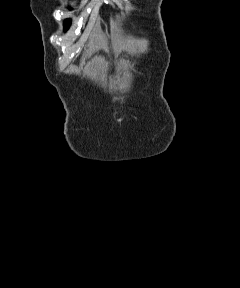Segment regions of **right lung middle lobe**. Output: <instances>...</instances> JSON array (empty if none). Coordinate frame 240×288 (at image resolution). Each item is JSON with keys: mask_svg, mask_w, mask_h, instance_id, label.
Here are the masks:
<instances>
[{"mask_svg": "<svg viewBox=\"0 0 240 288\" xmlns=\"http://www.w3.org/2000/svg\"><path fill=\"white\" fill-rule=\"evenodd\" d=\"M68 26H70V20L65 21V30L68 29Z\"/></svg>", "mask_w": 240, "mask_h": 288, "instance_id": "obj_1", "label": "right lung middle lobe"}]
</instances>
